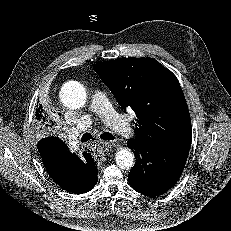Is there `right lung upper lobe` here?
Segmentation results:
<instances>
[{"label": "right lung upper lobe", "mask_w": 231, "mask_h": 231, "mask_svg": "<svg viewBox=\"0 0 231 231\" xmlns=\"http://www.w3.org/2000/svg\"><path fill=\"white\" fill-rule=\"evenodd\" d=\"M38 102H39V101H38ZM35 116H36V120L40 123V125H41V124H45L44 122H45V120H46V115H45V112H44V110L42 109V106H41V105H40L39 107L37 106ZM42 126H44V125H41V128H42ZM76 158H78L76 155H72V157H70L69 159L66 160V162L64 163V166H65V165L71 166V165H72L71 162H73L74 159H76ZM70 179H71V177H68L67 180H70Z\"/></svg>", "instance_id": "cb5924a9"}]
</instances>
